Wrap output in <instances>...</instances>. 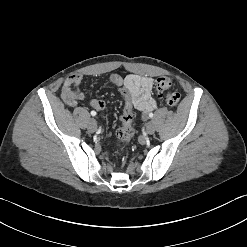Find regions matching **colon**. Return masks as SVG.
I'll return each mask as SVG.
<instances>
[{
    "mask_svg": "<svg viewBox=\"0 0 247 247\" xmlns=\"http://www.w3.org/2000/svg\"><path fill=\"white\" fill-rule=\"evenodd\" d=\"M108 81L114 89H118V92L123 95V113L121 116V127L117 130V137L123 143H128L135 135V129L133 127V108H132V94L130 86L123 82V78L116 72H111L108 75ZM171 80L167 77H160L156 81V89L159 93L166 92L165 101L169 106L175 107L180 101V94L175 91H171Z\"/></svg>",
    "mask_w": 247,
    "mask_h": 247,
    "instance_id": "colon-1",
    "label": "colon"
}]
</instances>
